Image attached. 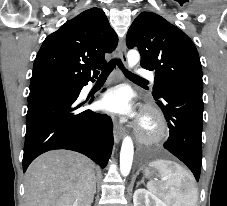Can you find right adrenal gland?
<instances>
[{
    "instance_id": "obj_1",
    "label": "right adrenal gland",
    "mask_w": 227,
    "mask_h": 206,
    "mask_svg": "<svg viewBox=\"0 0 227 206\" xmlns=\"http://www.w3.org/2000/svg\"><path fill=\"white\" fill-rule=\"evenodd\" d=\"M96 193V182H95V190H94V194Z\"/></svg>"
}]
</instances>
